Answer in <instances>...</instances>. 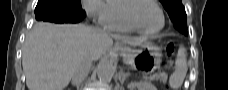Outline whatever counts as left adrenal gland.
<instances>
[{
	"mask_svg": "<svg viewBox=\"0 0 228 90\" xmlns=\"http://www.w3.org/2000/svg\"><path fill=\"white\" fill-rule=\"evenodd\" d=\"M128 74L123 73L122 71L118 74V80L120 81L121 85L124 84Z\"/></svg>",
	"mask_w": 228,
	"mask_h": 90,
	"instance_id": "obj_1",
	"label": "left adrenal gland"
}]
</instances>
